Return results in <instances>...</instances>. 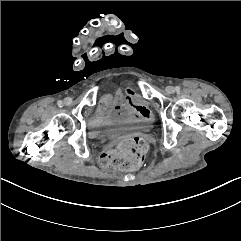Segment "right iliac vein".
<instances>
[{"label":"right iliac vein","instance_id":"1","mask_svg":"<svg viewBox=\"0 0 241 241\" xmlns=\"http://www.w3.org/2000/svg\"><path fill=\"white\" fill-rule=\"evenodd\" d=\"M71 102H72V99H71L70 97H67V98L64 99V103H65L66 105H70Z\"/></svg>","mask_w":241,"mask_h":241}]
</instances>
